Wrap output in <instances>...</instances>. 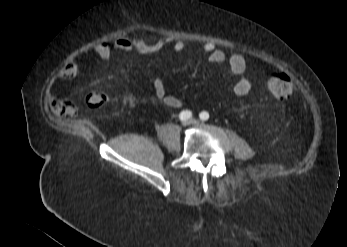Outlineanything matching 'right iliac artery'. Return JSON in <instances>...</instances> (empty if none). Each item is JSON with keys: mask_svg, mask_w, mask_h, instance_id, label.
<instances>
[{"mask_svg": "<svg viewBox=\"0 0 347 247\" xmlns=\"http://www.w3.org/2000/svg\"><path fill=\"white\" fill-rule=\"evenodd\" d=\"M192 117L191 111L184 110L179 114V118L181 121H186Z\"/></svg>", "mask_w": 347, "mask_h": 247, "instance_id": "82829eb1", "label": "right iliac artery"}]
</instances>
